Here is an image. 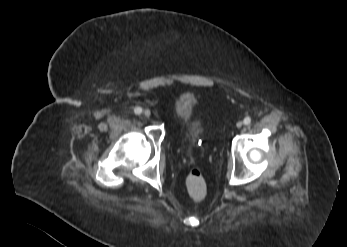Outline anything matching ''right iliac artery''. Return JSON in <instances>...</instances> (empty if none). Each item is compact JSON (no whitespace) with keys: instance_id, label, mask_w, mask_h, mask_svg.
Masks as SVG:
<instances>
[{"instance_id":"right-iliac-artery-1","label":"right iliac artery","mask_w":347,"mask_h":247,"mask_svg":"<svg viewBox=\"0 0 347 247\" xmlns=\"http://www.w3.org/2000/svg\"><path fill=\"white\" fill-rule=\"evenodd\" d=\"M134 113L137 114V115L141 114L142 113V108L141 107H136L134 109Z\"/></svg>"}]
</instances>
